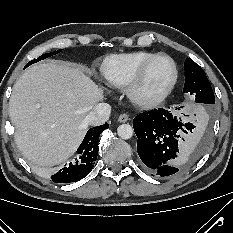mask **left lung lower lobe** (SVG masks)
Segmentation results:
<instances>
[{
	"label": "left lung lower lobe",
	"instance_id": "1",
	"mask_svg": "<svg viewBox=\"0 0 233 233\" xmlns=\"http://www.w3.org/2000/svg\"><path fill=\"white\" fill-rule=\"evenodd\" d=\"M178 108H176L177 110ZM163 108L145 111L133 120L137 135V152L143 163L162 178L175 176L194 163L202 154L199 145L184 144L185 134L195 126L183 124Z\"/></svg>",
	"mask_w": 233,
	"mask_h": 233
}]
</instances>
